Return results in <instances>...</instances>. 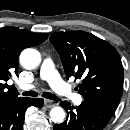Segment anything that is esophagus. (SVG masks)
Segmentation results:
<instances>
[{
	"label": "esophagus",
	"mask_w": 130,
	"mask_h": 130,
	"mask_svg": "<svg viewBox=\"0 0 130 130\" xmlns=\"http://www.w3.org/2000/svg\"><path fill=\"white\" fill-rule=\"evenodd\" d=\"M44 105L48 108H51V107H54L56 105V103L54 101H51V100H48V99H45L44 100Z\"/></svg>",
	"instance_id": "esophagus-1"
}]
</instances>
